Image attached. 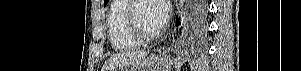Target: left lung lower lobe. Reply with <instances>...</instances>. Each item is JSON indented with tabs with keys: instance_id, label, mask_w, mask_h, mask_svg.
Segmentation results:
<instances>
[{
	"instance_id": "obj_1",
	"label": "left lung lower lobe",
	"mask_w": 301,
	"mask_h": 71,
	"mask_svg": "<svg viewBox=\"0 0 301 71\" xmlns=\"http://www.w3.org/2000/svg\"><path fill=\"white\" fill-rule=\"evenodd\" d=\"M207 10L206 0H192L189 8V27L192 34V41L200 43L205 39L207 33ZM180 22L177 19V25Z\"/></svg>"
}]
</instances>
